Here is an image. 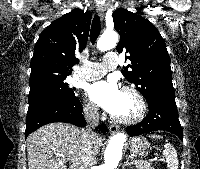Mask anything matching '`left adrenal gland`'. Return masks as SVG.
<instances>
[{"label":"left adrenal gland","mask_w":200,"mask_h":169,"mask_svg":"<svg viewBox=\"0 0 200 169\" xmlns=\"http://www.w3.org/2000/svg\"><path fill=\"white\" fill-rule=\"evenodd\" d=\"M133 164L130 162L129 158H126V161L123 163L122 168L124 169L126 166H132Z\"/></svg>","instance_id":"a2214340"}]
</instances>
